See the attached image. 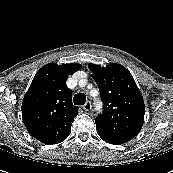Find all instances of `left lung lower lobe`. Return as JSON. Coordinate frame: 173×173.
<instances>
[{
    "label": "left lung lower lobe",
    "instance_id": "left-lung-lower-lobe-1",
    "mask_svg": "<svg viewBox=\"0 0 173 173\" xmlns=\"http://www.w3.org/2000/svg\"><path fill=\"white\" fill-rule=\"evenodd\" d=\"M97 132H98V131H97ZM98 135H99L105 142H107V143H109V144L120 145V144H123V143H124V142L118 141V140H116V139H113V138H111V137H109V136H107V135H105V134H103V133H101V132H98Z\"/></svg>",
    "mask_w": 173,
    "mask_h": 173
}]
</instances>
